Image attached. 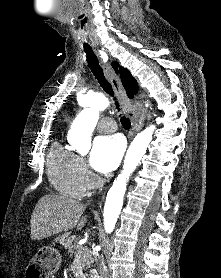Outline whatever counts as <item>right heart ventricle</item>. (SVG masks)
I'll use <instances>...</instances> for the list:
<instances>
[{
	"label": "right heart ventricle",
	"mask_w": 221,
	"mask_h": 278,
	"mask_svg": "<svg viewBox=\"0 0 221 278\" xmlns=\"http://www.w3.org/2000/svg\"><path fill=\"white\" fill-rule=\"evenodd\" d=\"M48 177L63 196L81 198L86 192V177L79 157L61 143L52 145L47 158Z\"/></svg>",
	"instance_id": "right-heart-ventricle-1"
}]
</instances>
